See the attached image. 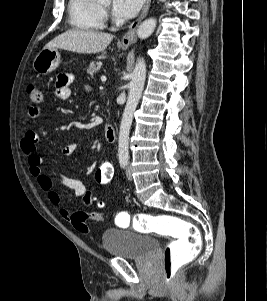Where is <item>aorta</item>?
<instances>
[{
    "instance_id": "762f6f07",
    "label": "aorta",
    "mask_w": 267,
    "mask_h": 301,
    "mask_svg": "<svg viewBox=\"0 0 267 301\" xmlns=\"http://www.w3.org/2000/svg\"><path fill=\"white\" fill-rule=\"evenodd\" d=\"M102 2L110 0H100ZM156 19L149 18L143 21L138 29L137 36L140 39L148 38L156 28ZM146 79V64L143 58H138L135 68L132 73V79L129 84V93L127 103L124 109L119 138H118V157L120 160H127L129 154V134L130 128L133 120L134 111L138 105L141 98L142 91L144 88V83Z\"/></svg>"
}]
</instances>
